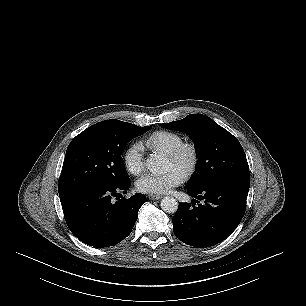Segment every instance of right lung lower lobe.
<instances>
[{
  "mask_svg": "<svg viewBox=\"0 0 306 306\" xmlns=\"http://www.w3.org/2000/svg\"><path fill=\"white\" fill-rule=\"evenodd\" d=\"M130 180L117 186L94 184L60 196L70 231L85 244L102 248L114 246L126 238L137 220L146 196L135 194L116 202L113 196L130 188Z\"/></svg>",
  "mask_w": 306,
  "mask_h": 306,
  "instance_id": "right-lung-lower-lobe-1",
  "label": "right lung lower lobe"
}]
</instances>
